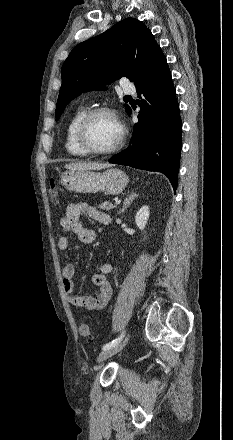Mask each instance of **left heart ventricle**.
Segmentation results:
<instances>
[{"instance_id":"1","label":"left heart ventricle","mask_w":233,"mask_h":440,"mask_svg":"<svg viewBox=\"0 0 233 440\" xmlns=\"http://www.w3.org/2000/svg\"><path fill=\"white\" fill-rule=\"evenodd\" d=\"M119 134V126L111 116L98 115L87 128L86 141L94 149L106 150L117 142Z\"/></svg>"}]
</instances>
